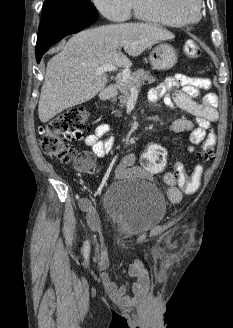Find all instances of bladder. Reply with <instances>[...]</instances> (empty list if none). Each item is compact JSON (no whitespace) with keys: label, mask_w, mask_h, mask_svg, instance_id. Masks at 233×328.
Listing matches in <instances>:
<instances>
[{"label":"bladder","mask_w":233,"mask_h":328,"mask_svg":"<svg viewBox=\"0 0 233 328\" xmlns=\"http://www.w3.org/2000/svg\"><path fill=\"white\" fill-rule=\"evenodd\" d=\"M117 231L125 237L147 233L164 219L167 202L161 190L145 180L112 183L101 199Z\"/></svg>","instance_id":"bladder-1"}]
</instances>
